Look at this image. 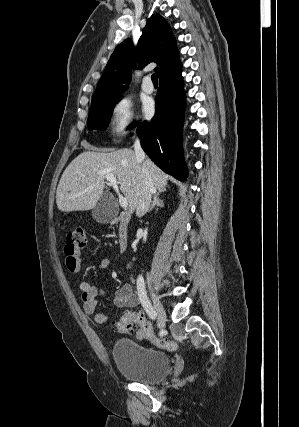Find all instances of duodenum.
I'll return each instance as SVG.
<instances>
[{
    "mask_svg": "<svg viewBox=\"0 0 299 427\" xmlns=\"http://www.w3.org/2000/svg\"><path fill=\"white\" fill-rule=\"evenodd\" d=\"M130 220V214L127 211H122L117 219L118 224V248L123 253L128 246V224Z\"/></svg>",
    "mask_w": 299,
    "mask_h": 427,
    "instance_id": "duodenum-1",
    "label": "duodenum"
}]
</instances>
